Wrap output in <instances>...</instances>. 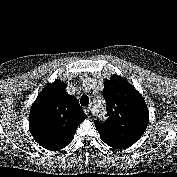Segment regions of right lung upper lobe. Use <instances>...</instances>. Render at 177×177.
<instances>
[{
    "label": "right lung upper lobe",
    "instance_id": "obj_1",
    "mask_svg": "<svg viewBox=\"0 0 177 177\" xmlns=\"http://www.w3.org/2000/svg\"><path fill=\"white\" fill-rule=\"evenodd\" d=\"M66 83L56 79L37 96L30 109L29 129L44 148L60 150L67 146L87 115L76 97L66 93Z\"/></svg>",
    "mask_w": 177,
    "mask_h": 177
}]
</instances>
